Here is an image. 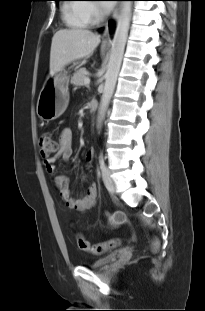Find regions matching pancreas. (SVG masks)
<instances>
[{"instance_id":"cf45deb5","label":"pancreas","mask_w":205,"mask_h":311,"mask_svg":"<svg viewBox=\"0 0 205 311\" xmlns=\"http://www.w3.org/2000/svg\"><path fill=\"white\" fill-rule=\"evenodd\" d=\"M87 70L85 68H81L76 71L71 78V83L76 87H80L84 85V79L86 78Z\"/></svg>"}]
</instances>
